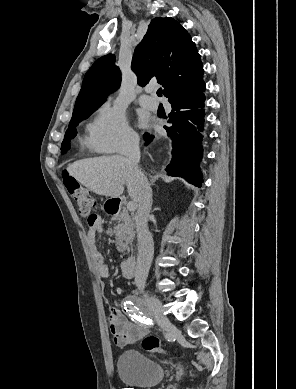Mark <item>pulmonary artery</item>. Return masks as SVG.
Instances as JSON below:
<instances>
[{"label": "pulmonary artery", "instance_id": "e3ab8cb5", "mask_svg": "<svg viewBox=\"0 0 296 389\" xmlns=\"http://www.w3.org/2000/svg\"><path fill=\"white\" fill-rule=\"evenodd\" d=\"M151 91L152 90L147 89L146 93L140 96L139 102L143 107L148 108L150 110H155L157 108V101L155 97L150 95Z\"/></svg>", "mask_w": 296, "mask_h": 389}]
</instances>
